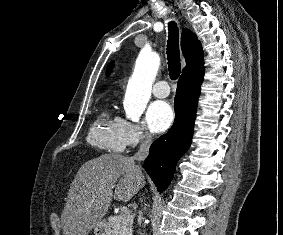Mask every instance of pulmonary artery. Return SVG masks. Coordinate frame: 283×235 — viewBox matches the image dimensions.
Segmentation results:
<instances>
[{
	"label": "pulmonary artery",
	"instance_id": "obj_1",
	"mask_svg": "<svg viewBox=\"0 0 283 235\" xmlns=\"http://www.w3.org/2000/svg\"><path fill=\"white\" fill-rule=\"evenodd\" d=\"M152 93L158 98H165L170 94L168 83L164 80L158 81L152 88Z\"/></svg>",
	"mask_w": 283,
	"mask_h": 235
}]
</instances>
